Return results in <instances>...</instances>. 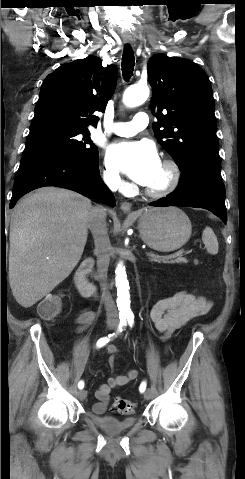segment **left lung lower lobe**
<instances>
[{
    "label": "left lung lower lobe",
    "mask_w": 245,
    "mask_h": 479,
    "mask_svg": "<svg viewBox=\"0 0 245 479\" xmlns=\"http://www.w3.org/2000/svg\"><path fill=\"white\" fill-rule=\"evenodd\" d=\"M180 171L181 178L176 190L149 205L204 208L225 223L227 221L225 187L221 178L219 156L206 155L195 158Z\"/></svg>",
    "instance_id": "left-lung-lower-lobe-1"
}]
</instances>
